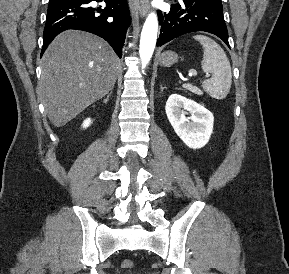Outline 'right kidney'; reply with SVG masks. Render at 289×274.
Returning a JSON list of instances; mask_svg holds the SVG:
<instances>
[{
    "label": "right kidney",
    "mask_w": 289,
    "mask_h": 274,
    "mask_svg": "<svg viewBox=\"0 0 289 274\" xmlns=\"http://www.w3.org/2000/svg\"><path fill=\"white\" fill-rule=\"evenodd\" d=\"M91 124V119L90 118H87L86 120H84L83 124H82V127L83 128H87L89 127Z\"/></svg>",
    "instance_id": "1"
}]
</instances>
